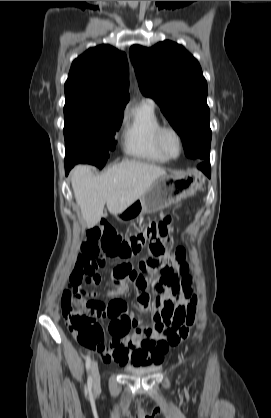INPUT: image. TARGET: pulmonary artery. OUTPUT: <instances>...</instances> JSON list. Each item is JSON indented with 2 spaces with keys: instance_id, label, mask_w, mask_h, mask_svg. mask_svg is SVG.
<instances>
[{
  "instance_id": "e3ab8cb5",
  "label": "pulmonary artery",
  "mask_w": 271,
  "mask_h": 418,
  "mask_svg": "<svg viewBox=\"0 0 271 418\" xmlns=\"http://www.w3.org/2000/svg\"><path fill=\"white\" fill-rule=\"evenodd\" d=\"M145 101L153 104V101L151 99H146Z\"/></svg>"
}]
</instances>
